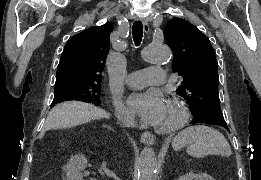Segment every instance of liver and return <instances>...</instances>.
I'll return each instance as SVG.
<instances>
[{
	"label": "liver",
	"instance_id": "1",
	"mask_svg": "<svg viewBox=\"0 0 261 180\" xmlns=\"http://www.w3.org/2000/svg\"><path fill=\"white\" fill-rule=\"evenodd\" d=\"M53 110L56 122L61 128H73L78 124H86L90 120L108 118L104 110H100L96 106H90V104H84V102H65V104H58Z\"/></svg>",
	"mask_w": 261,
	"mask_h": 180
}]
</instances>
